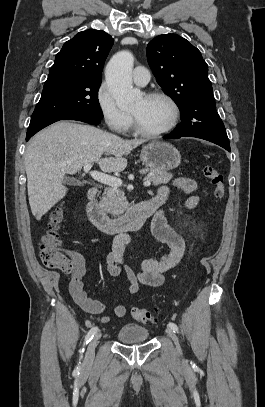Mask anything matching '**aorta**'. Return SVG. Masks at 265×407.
I'll list each match as a JSON object with an SVG mask.
<instances>
[{"mask_svg":"<svg viewBox=\"0 0 265 407\" xmlns=\"http://www.w3.org/2000/svg\"><path fill=\"white\" fill-rule=\"evenodd\" d=\"M134 57L129 51L116 53L105 70L106 82L118 107H132L141 99V92L132 86Z\"/></svg>","mask_w":265,"mask_h":407,"instance_id":"762f6f07","label":"aorta"}]
</instances>
